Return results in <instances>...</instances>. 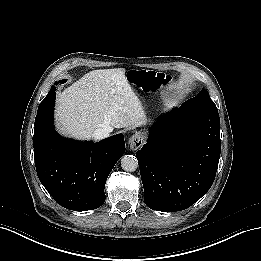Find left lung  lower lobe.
Listing matches in <instances>:
<instances>
[{
  "label": "left lung lower lobe",
  "mask_w": 261,
  "mask_h": 261,
  "mask_svg": "<svg viewBox=\"0 0 261 261\" xmlns=\"http://www.w3.org/2000/svg\"><path fill=\"white\" fill-rule=\"evenodd\" d=\"M219 133L216 105L196 98L152 127L148 143L136 153L149 208L181 211L210 189L221 151Z\"/></svg>",
  "instance_id": "left-lung-lower-lobe-1"
}]
</instances>
